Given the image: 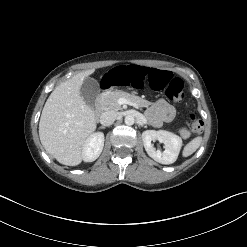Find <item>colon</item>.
I'll return each mask as SVG.
<instances>
[{
	"label": "colon",
	"instance_id": "obj_1",
	"mask_svg": "<svg viewBox=\"0 0 247 247\" xmlns=\"http://www.w3.org/2000/svg\"><path fill=\"white\" fill-rule=\"evenodd\" d=\"M100 82L103 88L109 91L117 90L121 85L127 87L131 84L148 89L165 88L166 96L174 103L181 102L185 96L181 79L173 77L169 71L159 70L153 66H136L132 63L117 64L103 71ZM188 119L191 131L198 134L203 127L202 121L194 112L189 113Z\"/></svg>",
	"mask_w": 247,
	"mask_h": 247
}]
</instances>
